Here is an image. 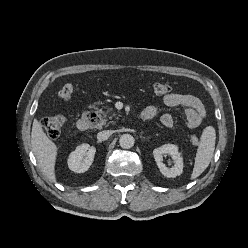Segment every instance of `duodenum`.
I'll return each mask as SVG.
<instances>
[{
	"instance_id": "obj_1",
	"label": "duodenum",
	"mask_w": 248,
	"mask_h": 248,
	"mask_svg": "<svg viewBox=\"0 0 248 248\" xmlns=\"http://www.w3.org/2000/svg\"><path fill=\"white\" fill-rule=\"evenodd\" d=\"M140 117H141V119H145L142 116H140ZM97 123H98V116L96 114L85 113L77 121V128H78V130L84 132V131L89 130L92 126H94Z\"/></svg>"
}]
</instances>
